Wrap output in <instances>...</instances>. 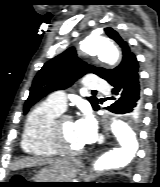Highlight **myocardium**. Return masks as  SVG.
I'll list each match as a JSON object with an SVG mask.
<instances>
[{
	"label": "myocardium",
	"mask_w": 160,
	"mask_h": 187,
	"mask_svg": "<svg viewBox=\"0 0 160 187\" xmlns=\"http://www.w3.org/2000/svg\"><path fill=\"white\" fill-rule=\"evenodd\" d=\"M72 118L69 115L59 114L54 118L51 124L50 130V140L51 145L57 154L64 156H76L84 153L85 148L82 147L78 150H70L64 144V138L61 131V124L63 120H71Z\"/></svg>",
	"instance_id": "obj_1"
}]
</instances>
